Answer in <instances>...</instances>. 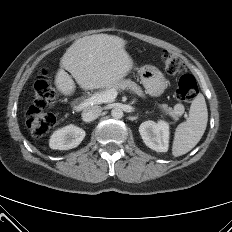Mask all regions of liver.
I'll return each mask as SVG.
<instances>
[{"mask_svg":"<svg viewBox=\"0 0 232 232\" xmlns=\"http://www.w3.org/2000/svg\"><path fill=\"white\" fill-rule=\"evenodd\" d=\"M125 40L115 35L94 34L76 40L62 56L55 76L59 92L71 95L75 83L85 90L110 87L132 69L133 62L126 52ZM65 69V70H64Z\"/></svg>","mask_w":232,"mask_h":232,"instance_id":"1","label":"liver"}]
</instances>
